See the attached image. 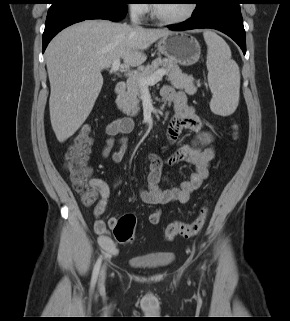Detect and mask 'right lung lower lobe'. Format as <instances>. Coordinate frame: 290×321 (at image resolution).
I'll list each match as a JSON object with an SVG mask.
<instances>
[{
    "label": "right lung lower lobe",
    "instance_id": "1",
    "mask_svg": "<svg viewBox=\"0 0 290 321\" xmlns=\"http://www.w3.org/2000/svg\"><path fill=\"white\" fill-rule=\"evenodd\" d=\"M127 6L90 7L78 4L52 5L48 11L43 33V52L51 39L62 29L88 19L119 21L127 13Z\"/></svg>",
    "mask_w": 290,
    "mask_h": 321
}]
</instances>
